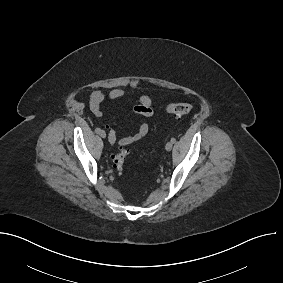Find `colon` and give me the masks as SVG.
Instances as JSON below:
<instances>
[{
	"mask_svg": "<svg viewBox=\"0 0 283 283\" xmlns=\"http://www.w3.org/2000/svg\"><path fill=\"white\" fill-rule=\"evenodd\" d=\"M166 112L175 115V116H183L187 115L191 112L192 106L188 103H170L165 108ZM129 155V150L121 149L119 152L112 156V165L113 169L121 173L123 170V166L126 158Z\"/></svg>",
	"mask_w": 283,
	"mask_h": 283,
	"instance_id": "5ec220e1",
	"label": "colon"
}]
</instances>
